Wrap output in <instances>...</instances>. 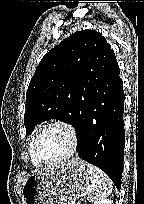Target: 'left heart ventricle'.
<instances>
[{"label": "left heart ventricle", "mask_w": 144, "mask_h": 204, "mask_svg": "<svg viewBox=\"0 0 144 204\" xmlns=\"http://www.w3.org/2000/svg\"><path fill=\"white\" fill-rule=\"evenodd\" d=\"M70 149V137L61 128L52 127L45 130L37 142V153L46 161L63 157Z\"/></svg>", "instance_id": "obj_1"}]
</instances>
